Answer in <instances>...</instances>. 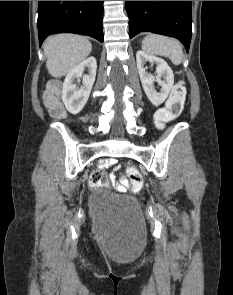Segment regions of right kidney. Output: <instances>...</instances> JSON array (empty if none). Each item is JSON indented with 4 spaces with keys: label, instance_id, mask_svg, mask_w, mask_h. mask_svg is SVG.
<instances>
[{
    "label": "right kidney",
    "instance_id": "right-kidney-1",
    "mask_svg": "<svg viewBox=\"0 0 233 295\" xmlns=\"http://www.w3.org/2000/svg\"><path fill=\"white\" fill-rule=\"evenodd\" d=\"M85 70H87L88 74L83 76V86L77 89L74 80L82 77ZM96 70V59L94 57H89L67 74L63 83L62 101L71 114L79 113L85 106L95 81Z\"/></svg>",
    "mask_w": 233,
    "mask_h": 295
}]
</instances>
